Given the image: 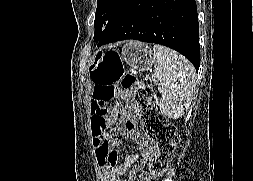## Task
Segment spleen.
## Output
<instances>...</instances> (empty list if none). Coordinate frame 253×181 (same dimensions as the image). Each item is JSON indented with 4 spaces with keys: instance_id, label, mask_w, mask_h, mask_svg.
I'll list each match as a JSON object with an SVG mask.
<instances>
[{
    "instance_id": "3e777b00",
    "label": "spleen",
    "mask_w": 253,
    "mask_h": 181,
    "mask_svg": "<svg viewBox=\"0 0 253 181\" xmlns=\"http://www.w3.org/2000/svg\"><path fill=\"white\" fill-rule=\"evenodd\" d=\"M154 76L161 99V113L179 118L188 109L195 92V68L182 55L162 45L153 47Z\"/></svg>"
}]
</instances>
